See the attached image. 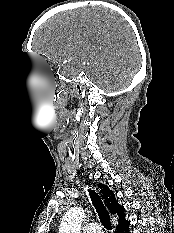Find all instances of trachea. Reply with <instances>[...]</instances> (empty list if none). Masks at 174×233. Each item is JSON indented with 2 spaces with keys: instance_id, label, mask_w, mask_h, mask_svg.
Returning a JSON list of instances; mask_svg holds the SVG:
<instances>
[{
  "instance_id": "obj_1",
  "label": "trachea",
  "mask_w": 174,
  "mask_h": 233,
  "mask_svg": "<svg viewBox=\"0 0 174 233\" xmlns=\"http://www.w3.org/2000/svg\"><path fill=\"white\" fill-rule=\"evenodd\" d=\"M89 195H90L92 204L95 207L96 212L98 213L101 224L108 231H111L112 225L110 222V216H109V213H108L106 207L104 206L100 196L94 190H89Z\"/></svg>"
}]
</instances>
